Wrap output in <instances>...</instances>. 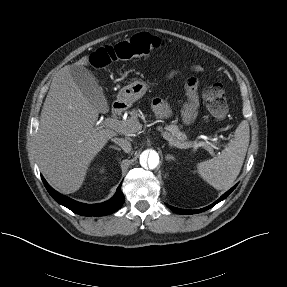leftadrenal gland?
I'll return each instance as SVG.
<instances>
[{
    "mask_svg": "<svg viewBox=\"0 0 287 287\" xmlns=\"http://www.w3.org/2000/svg\"><path fill=\"white\" fill-rule=\"evenodd\" d=\"M165 160H166V161H171V160L174 161L175 158H174L172 155L168 154V155L165 156Z\"/></svg>",
    "mask_w": 287,
    "mask_h": 287,
    "instance_id": "left-adrenal-gland-1",
    "label": "left adrenal gland"
}]
</instances>
